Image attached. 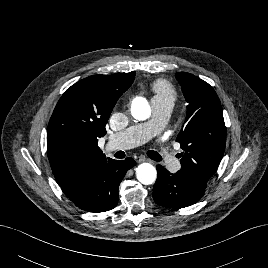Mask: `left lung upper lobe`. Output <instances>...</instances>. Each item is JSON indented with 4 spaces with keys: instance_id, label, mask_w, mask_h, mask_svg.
I'll list each match as a JSON object with an SVG mask.
<instances>
[{
    "instance_id": "left-lung-upper-lobe-1",
    "label": "left lung upper lobe",
    "mask_w": 268,
    "mask_h": 268,
    "mask_svg": "<svg viewBox=\"0 0 268 268\" xmlns=\"http://www.w3.org/2000/svg\"><path fill=\"white\" fill-rule=\"evenodd\" d=\"M187 106L186 125L180 143L181 172L205 187L216 172L226 144V128L220 100L211 85L187 72L176 73Z\"/></svg>"
}]
</instances>
